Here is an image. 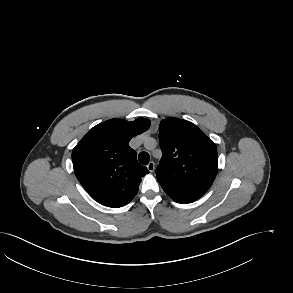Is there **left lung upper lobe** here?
Returning <instances> with one entry per match:
<instances>
[{
	"instance_id": "left-lung-upper-lobe-1",
	"label": "left lung upper lobe",
	"mask_w": 293,
	"mask_h": 293,
	"mask_svg": "<svg viewBox=\"0 0 293 293\" xmlns=\"http://www.w3.org/2000/svg\"><path fill=\"white\" fill-rule=\"evenodd\" d=\"M162 158L156 177L176 202H193L211 187L217 171L216 145L196 125L178 118L160 122Z\"/></svg>"
}]
</instances>
